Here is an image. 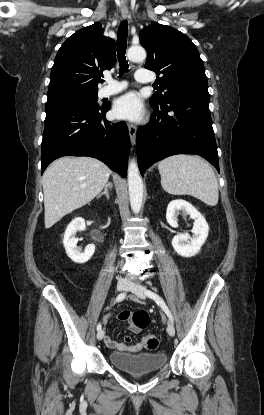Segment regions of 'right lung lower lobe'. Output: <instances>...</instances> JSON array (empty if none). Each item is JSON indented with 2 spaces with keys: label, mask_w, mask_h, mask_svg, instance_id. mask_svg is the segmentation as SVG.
<instances>
[{
  "label": "right lung lower lobe",
  "mask_w": 264,
  "mask_h": 415,
  "mask_svg": "<svg viewBox=\"0 0 264 415\" xmlns=\"http://www.w3.org/2000/svg\"><path fill=\"white\" fill-rule=\"evenodd\" d=\"M109 108L106 105L64 106L46 110L42 173L55 159L72 155L97 158L126 177L130 150L128 128L125 122L111 123L105 119Z\"/></svg>",
  "instance_id": "98d812e1"
}]
</instances>
